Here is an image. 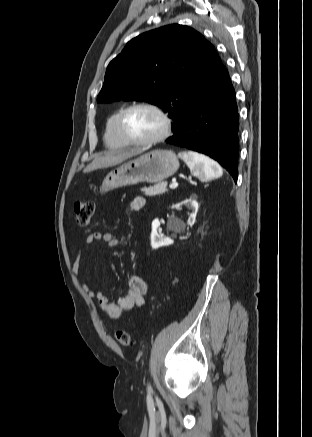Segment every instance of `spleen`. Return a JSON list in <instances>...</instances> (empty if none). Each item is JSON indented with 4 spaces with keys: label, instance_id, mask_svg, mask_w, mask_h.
<instances>
[{
    "label": "spleen",
    "instance_id": "obj_1",
    "mask_svg": "<svg viewBox=\"0 0 312 437\" xmlns=\"http://www.w3.org/2000/svg\"><path fill=\"white\" fill-rule=\"evenodd\" d=\"M178 156L184 160L191 173L203 181L222 176L221 166L211 158L194 151L180 152Z\"/></svg>",
    "mask_w": 312,
    "mask_h": 437
}]
</instances>
